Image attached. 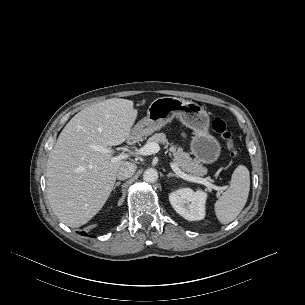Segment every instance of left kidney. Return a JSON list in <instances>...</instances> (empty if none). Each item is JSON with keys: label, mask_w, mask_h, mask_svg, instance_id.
Wrapping results in <instances>:
<instances>
[{"label": "left kidney", "mask_w": 305, "mask_h": 305, "mask_svg": "<svg viewBox=\"0 0 305 305\" xmlns=\"http://www.w3.org/2000/svg\"><path fill=\"white\" fill-rule=\"evenodd\" d=\"M207 194L203 191L194 192L190 188L179 189L169 195L174 210L189 221H199L205 217Z\"/></svg>", "instance_id": "5707ae66"}]
</instances>
